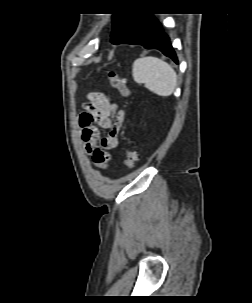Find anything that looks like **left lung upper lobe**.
Listing matches in <instances>:
<instances>
[{"label": "left lung upper lobe", "instance_id": "left-lung-upper-lobe-1", "mask_svg": "<svg viewBox=\"0 0 252 303\" xmlns=\"http://www.w3.org/2000/svg\"><path fill=\"white\" fill-rule=\"evenodd\" d=\"M146 15L144 13L114 14L112 17L111 42L117 44L121 41Z\"/></svg>", "mask_w": 252, "mask_h": 303}]
</instances>
